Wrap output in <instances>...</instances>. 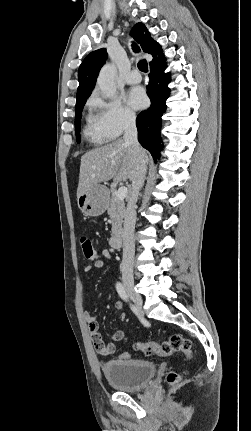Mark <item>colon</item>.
Segmentation results:
<instances>
[{
  "mask_svg": "<svg viewBox=\"0 0 251 431\" xmlns=\"http://www.w3.org/2000/svg\"><path fill=\"white\" fill-rule=\"evenodd\" d=\"M79 244L83 256L86 260L94 261L97 258V252L93 246L91 239L87 236H81L79 239ZM136 350L143 352L146 355H156L160 357H167L176 352H181L185 355L186 359H191L192 343L189 339L179 335L174 334L168 340L163 342H137L134 345ZM130 354L128 352L117 353L114 359L117 362H124L129 358ZM180 381V375L175 371H170L166 375V382L169 385H175Z\"/></svg>",
  "mask_w": 251,
  "mask_h": 431,
  "instance_id": "colon-1",
  "label": "colon"
}]
</instances>
